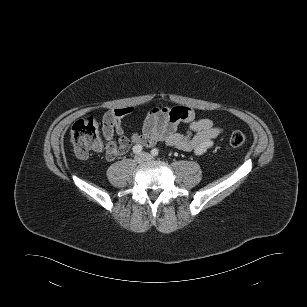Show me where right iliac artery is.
Here are the masks:
<instances>
[{"label": "right iliac artery", "mask_w": 307, "mask_h": 307, "mask_svg": "<svg viewBox=\"0 0 307 307\" xmlns=\"http://www.w3.org/2000/svg\"><path fill=\"white\" fill-rule=\"evenodd\" d=\"M132 150H133L134 153L139 154L142 151V146L141 145H135L132 148Z\"/></svg>", "instance_id": "obj_1"}]
</instances>
